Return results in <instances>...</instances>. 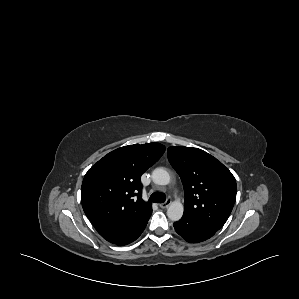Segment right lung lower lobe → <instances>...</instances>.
Instances as JSON below:
<instances>
[{
  "instance_id": "right-lung-lower-lobe-1",
  "label": "right lung lower lobe",
  "mask_w": 299,
  "mask_h": 299,
  "mask_svg": "<svg viewBox=\"0 0 299 299\" xmlns=\"http://www.w3.org/2000/svg\"><path fill=\"white\" fill-rule=\"evenodd\" d=\"M150 218V217H149ZM149 218L144 221L142 224L133 227V228H129V229H125V230H119V231H114V232H109L106 234L101 235L105 240L122 246V245H127L133 241H135L143 232V230L145 229L146 225H147V221L149 220Z\"/></svg>"
}]
</instances>
